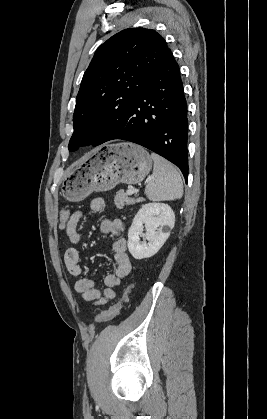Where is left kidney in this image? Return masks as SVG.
I'll return each mask as SVG.
<instances>
[{"label":"left kidney","mask_w":267,"mask_h":419,"mask_svg":"<svg viewBox=\"0 0 267 419\" xmlns=\"http://www.w3.org/2000/svg\"><path fill=\"white\" fill-rule=\"evenodd\" d=\"M143 224H145L146 233H143ZM174 224L175 214L168 204L142 205L128 231V250L131 255L138 260L155 255L170 236ZM140 236L148 243L141 242Z\"/></svg>","instance_id":"left-kidney-1"}]
</instances>
